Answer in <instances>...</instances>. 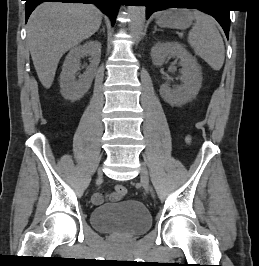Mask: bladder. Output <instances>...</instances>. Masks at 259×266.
I'll return each mask as SVG.
<instances>
[{"label": "bladder", "mask_w": 259, "mask_h": 266, "mask_svg": "<svg viewBox=\"0 0 259 266\" xmlns=\"http://www.w3.org/2000/svg\"><path fill=\"white\" fill-rule=\"evenodd\" d=\"M90 221L97 231L129 236L145 233L152 224L145 205L132 199L96 207L91 212Z\"/></svg>", "instance_id": "31cf9c89"}]
</instances>
